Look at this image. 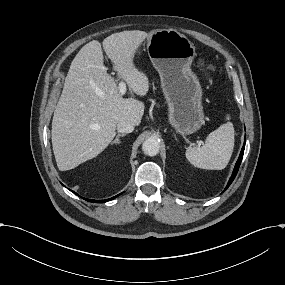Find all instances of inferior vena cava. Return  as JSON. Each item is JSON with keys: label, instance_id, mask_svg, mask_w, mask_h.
<instances>
[{"label": "inferior vena cava", "instance_id": "inferior-vena-cava-1", "mask_svg": "<svg viewBox=\"0 0 285 285\" xmlns=\"http://www.w3.org/2000/svg\"><path fill=\"white\" fill-rule=\"evenodd\" d=\"M134 129V125L128 121H120L117 124V130L121 133H131Z\"/></svg>", "mask_w": 285, "mask_h": 285}]
</instances>
